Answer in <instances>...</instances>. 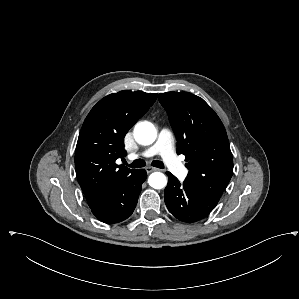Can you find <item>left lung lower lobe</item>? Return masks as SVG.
<instances>
[{"mask_svg": "<svg viewBox=\"0 0 299 299\" xmlns=\"http://www.w3.org/2000/svg\"><path fill=\"white\" fill-rule=\"evenodd\" d=\"M167 175L165 203L170 213L180 221L196 222L216 207L219 200L215 197L187 181L181 184L170 172Z\"/></svg>", "mask_w": 299, "mask_h": 299, "instance_id": "left-lung-lower-lobe-1", "label": "left lung lower lobe"}]
</instances>
